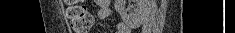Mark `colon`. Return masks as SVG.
I'll return each instance as SVG.
<instances>
[{"label":"colon","mask_w":235,"mask_h":33,"mask_svg":"<svg viewBox=\"0 0 235 33\" xmlns=\"http://www.w3.org/2000/svg\"><path fill=\"white\" fill-rule=\"evenodd\" d=\"M67 17L75 33H88L93 24V16L83 4L70 2Z\"/></svg>","instance_id":"1"}]
</instances>
